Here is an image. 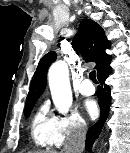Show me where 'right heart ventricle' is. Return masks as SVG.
Listing matches in <instances>:
<instances>
[{
    "label": "right heart ventricle",
    "instance_id": "e07e8e85",
    "mask_svg": "<svg viewBox=\"0 0 130 153\" xmlns=\"http://www.w3.org/2000/svg\"><path fill=\"white\" fill-rule=\"evenodd\" d=\"M57 117L43 103L34 113L31 123V137L34 144L42 149H51L56 145Z\"/></svg>",
    "mask_w": 130,
    "mask_h": 153
}]
</instances>
